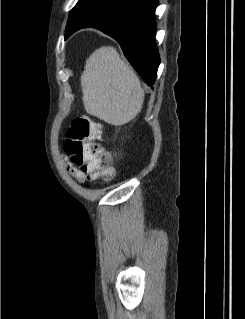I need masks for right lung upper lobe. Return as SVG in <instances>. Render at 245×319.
<instances>
[{
  "label": "right lung upper lobe",
  "mask_w": 245,
  "mask_h": 319,
  "mask_svg": "<svg viewBox=\"0 0 245 319\" xmlns=\"http://www.w3.org/2000/svg\"><path fill=\"white\" fill-rule=\"evenodd\" d=\"M81 1L83 0H79L76 6L70 12L69 19H76V22L74 24L67 23L66 36L73 34L78 29L83 28L93 21V19H88V16L85 14V12L81 11Z\"/></svg>",
  "instance_id": "cb5924a9"
}]
</instances>
